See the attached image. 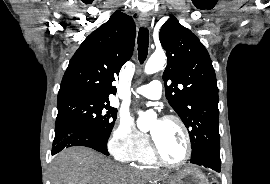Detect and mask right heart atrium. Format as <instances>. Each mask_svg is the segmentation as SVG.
I'll list each match as a JSON object with an SVG mask.
<instances>
[{
    "label": "right heart atrium",
    "instance_id": "obj_1",
    "mask_svg": "<svg viewBox=\"0 0 270 184\" xmlns=\"http://www.w3.org/2000/svg\"><path fill=\"white\" fill-rule=\"evenodd\" d=\"M148 137L127 116H120L108 140L110 153L119 161L132 162L148 146Z\"/></svg>",
    "mask_w": 270,
    "mask_h": 184
}]
</instances>
